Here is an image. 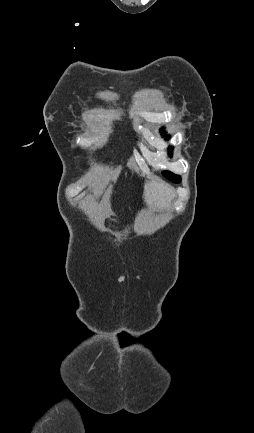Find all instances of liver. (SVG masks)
Segmentation results:
<instances>
[{
	"instance_id": "obj_1",
	"label": "liver",
	"mask_w": 254,
	"mask_h": 433,
	"mask_svg": "<svg viewBox=\"0 0 254 433\" xmlns=\"http://www.w3.org/2000/svg\"><path fill=\"white\" fill-rule=\"evenodd\" d=\"M174 196L173 190L164 183L152 180L144 187V198L150 207L167 208Z\"/></svg>"
}]
</instances>
